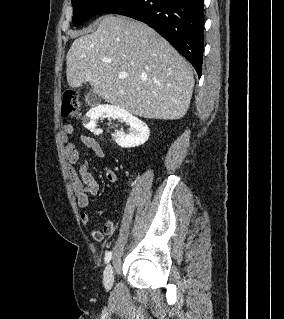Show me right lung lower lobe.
Segmentation results:
<instances>
[{
    "mask_svg": "<svg viewBox=\"0 0 284 319\" xmlns=\"http://www.w3.org/2000/svg\"><path fill=\"white\" fill-rule=\"evenodd\" d=\"M203 0H130L111 13L148 24L202 72Z\"/></svg>",
    "mask_w": 284,
    "mask_h": 319,
    "instance_id": "1",
    "label": "right lung lower lobe"
}]
</instances>
